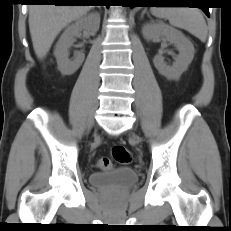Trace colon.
<instances>
[{"mask_svg": "<svg viewBox=\"0 0 231 231\" xmlns=\"http://www.w3.org/2000/svg\"><path fill=\"white\" fill-rule=\"evenodd\" d=\"M123 164L129 165L133 162V154L126 147L122 145H116L111 150V158L104 157L98 161V166L103 170L111 169L112 160Z\"/></svg>", "mask_w": 231, "mask_h": 231, "instance_id": "5ec220e1", "label": "colon"}]
</instances>
